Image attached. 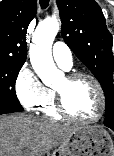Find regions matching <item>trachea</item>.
Wrapping results in <instances>:
<instances>
[{
	"label": "trachea",
	"mask_w": 114,
	"mask_h": 156,
	"mask_svg": "<svg viewBox=\"0 0 114 156\" xmlns=\"http://www.w3.org/2000/svg\"><path fill=\"white\" fill-rule=\"evenodd\" d=\"M42 9H46L49 6V0H39Z\"/></svg>",
	"instance_id": "1"
}]
</instances>
